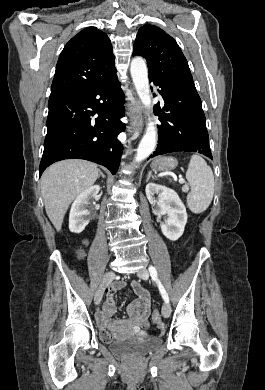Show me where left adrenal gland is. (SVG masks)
<instances>
[{
    "mask_svg": "<svg viewBox=\"0 0 265 390\" xmlns=\"http://www.w3.org/2000/svg\"><path fill=\"white\" fill-rule=\"evenodd\" d=\"M150 177H152L153 179L155 178L154 175L152 174V171H149L148 176H147V179H146V182H148V180L150 179Z\"/></svg>",
    "mask_w": 265,
    "mask_h": 390,
    "instance_id": "obj_1",
    "label": "left adrenal gland"
}]
</instances>
